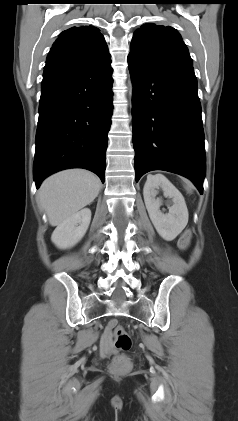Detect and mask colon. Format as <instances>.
<instances>
[{
	"mask_svg": "<svg viewBox=\"0 0 238 421\" xmlns=\"http://www.w3.org/2000/svg\"><path fill=\"white\" fill-rule=\"evenodd\" d=\"M191 233L186 231L179 240V247L186 249L189 246ZM109 335L111 336L114 346L118 351L124 352L131 348L132 341L127 331L119 325L116 321L110 323L108 329ZM130 359L124 353H120L115 356L111 362V370L116 373L126 372L130 368Z\"/></svg>",
	"mask_w": 238,
	"mask_h": 421,
	"instance_id": "colon-1",
	"label": "colon"
}]
</instances>
